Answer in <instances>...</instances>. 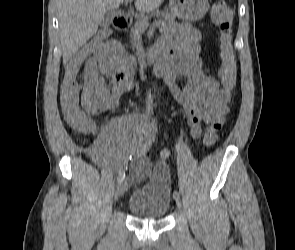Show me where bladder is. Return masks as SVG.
Masks as SVG:
<instances>
[{"instance_id": "1", "label": "bladder", "mask_w": 295, "mask_h": 250, "mask_svg": "<svg viewBox=\"0 0 295 250\" xmlns=\"http://www.w3.org/2000/svg\"><path fill=\"white\" fill-rule=\"evenodd\" d=\"M171 207V183L164 164L151 169L150 178L130 192L127 209L136 218L159 220Z\"/></svg>"}]
</instances>
